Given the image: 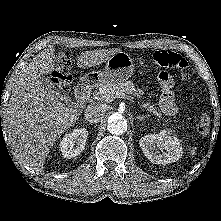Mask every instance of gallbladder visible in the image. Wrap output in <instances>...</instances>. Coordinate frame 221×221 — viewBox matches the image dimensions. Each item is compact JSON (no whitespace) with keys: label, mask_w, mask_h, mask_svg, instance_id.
Wrapping results in <instances>:
<instances>
[{"label":"gallbladder","mask_w":221,"mask_h":221,"mask_svg":"<svg viewBox=\"0 0 221 221\" xmlns=\"http://www.w3.org/2000/svg\"><path fill=\"white\" fill-rule=\"evenodd\" d=\"M41 81H42V83H43L44 89H45L47 92H49V93L55 95V96H56L57 98H59L60 100H66V101H68V99L66 98L65 95H63V94H61L60 92L56 91V89H55V87H54V85H53V83H52V81H51L50 79H48V78L42 76V77H41Z\"/></svg>","instance_id":"1"}]
</instances>
